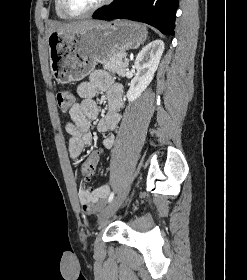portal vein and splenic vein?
Wrapping results in <instances>:
<instances>
[{"mask_svg": "<svg viewBox=\"0 0 247 280\" xmlns=\"http://www.w3.org/2000/svg\"><path fill=\"white\" fill-rule=\"evenodd\" d=\"M124 61H125V62H128V59L125 57V58H124Z\"/></svg>", "mask_w": 247, "mask_h": 280, "instance_id": "18ae733b", "label": "portal vein and splenic vein"}]
</instances>
